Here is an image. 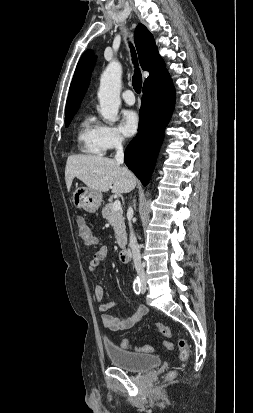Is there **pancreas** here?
<instances>
[{"instance_id": "obj_1", "label": "pancreas", "mask_w": 253, "mask_h": 413, "mask_svg": "<svg viewBox=\"0 0 253 413\" xmlns=\"http://www.w3.org/2000/svg\"><path fill=\"white\" fill-rule=\"evenodd\" d=\"M102 216L113 227L118 245L123 247L125 245V223L123 212L121 210L114 212L113 203L111 202L105 205L102 209Z\"/></svg>"}]
</instances>
